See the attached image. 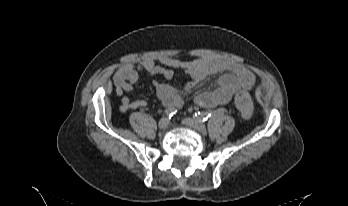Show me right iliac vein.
<instances>
[{
    "label": "right iliac vein",
    "instance_id": "1",
    "mask_svg": "<svg viewBox=\"0 0 348 206\" xmlns=\"http://www.w3.org/2000/svg\"><path fill=\"white\" fill-rule=\"evenodd\" d=\"M169 125V119L167 117H164L160 119L158 126L160 129H166Z\"/></svg>",
    "mask_w": 348,
    "mask_h": 206
}]
</instances>
